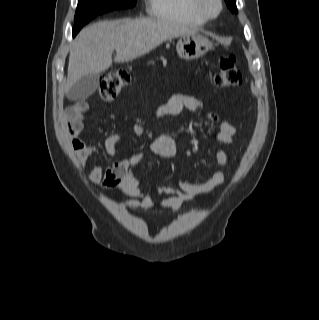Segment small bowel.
I'll list each match as a JSON object with an SVG mask.
<instances>
[{
    "mask_svg": "<svg viewBox=\"0 0 319 320\" xmlns=\"http://www.w3.org/2000/svg\"><path fill=\"white\" fill-rule=\"evenodd\" d=\"M87 106L79 103L68 111L64 118V128L69 146L75 152L77 161L81 167H84L89 158L98 153V149L90 146L83 138L85 129L83 118ZM183 110H188L196 115H202L213 125L210 131H204V135L214 138L217 141L231 145L236 130L233 125L222 121L213 113L207 112L204 102L201 98L188 94H175L166 103L160 105L156 110V118L160 119L167 115H178ZM145 127L138 123L135 126L137 133H142ZM123 141L119 134L109 135L104 143L105 153L108 157H113L116 148ZM150 147L154 155L171 159L176 155V141L168 134H157L151 142ZM214 162L223 167L228 163V155L223 150H216L212 154ZM143 157L142 153H135L129 159L121 162L122 169L112 172V177L108 176L111 166L105 167L104 164H96L89 173L88 180L94 185H100L104 189L117 190L123 194L136 199V204L145 209L164 208L176 210L185 202L193 199L199 194L213 190L224 182V173L220 169H215L202 181H178L176 187L158 186L155 188V194L162 196L163 199L156 201L152 194L144 191L140 187L139 178L133 173V167L138 164Z\"/></svg>",
    "mask_w": 319,
    "mask_h": 320,
    "instance_id": "small-bowel-1",
    "label": "small bowel"
}]
</instances>
